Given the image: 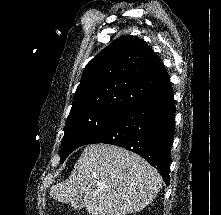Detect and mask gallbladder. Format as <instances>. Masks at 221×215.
I'll return each mask as SVG.
<instances>
[{"label":"gallbladder","mask_w":221,"mask_h":215,"mask_svg":"<svg viewBox=\"0 0 221 215\" xmlns=\"http://www.w3.org/2000/svg\"><path fill=\"white\" fill-rule=\"evenodd\" d=\"M71 206L74 210H80L84 206L83 198H80L78 201L71 203Z\"/></svg>","instance_id":"bac80fb5"}]
</instances>
